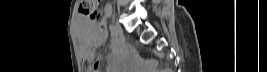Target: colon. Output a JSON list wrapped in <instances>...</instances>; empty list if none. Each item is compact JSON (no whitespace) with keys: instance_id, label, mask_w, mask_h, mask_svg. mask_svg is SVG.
<instances>
[{"instance_id":"1","label":"colon","mask_w":267,"mask_h":72,"mask_svg":"<svg viewBox=\"0 0 267 72\" xmlns=\"http://www.w3.org/2000/svg\"><path fill=\"white\" fill-rule=\"evenodd\" d=\"M101 3H102L101 0H80L81 11L90 16L91 23L94 27L100 29V32H98V35L102 34L101 32V10H100ZM92 70L94 72L99 71V64L97 62L92 65Z\"/></svg>"}]
</instances>
